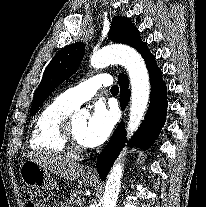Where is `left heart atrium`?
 <instances>
[{"instance_id":"39dd6f15","label":"left heart atrium","mask_w":206,"mask_h":207,"mask_svg":"<svg viewBox=\"0 0 206 207\" xmlns=\"http://www.w3.org/2000/svg\"><path fill=\"white\" fill-rule=\"evenodd\" d=\"M115 123V109H108L103 103L95 104L84 130V144L88 147L102 144L110 136Z\"/></svg>"}]
</instances>
